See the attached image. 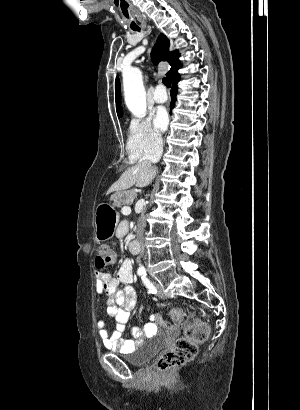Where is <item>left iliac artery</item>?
Wrapping results in <instances>:
<instances>
[{"label":"left iliac artery","mask_w":300,"mask_h":410,"mask_svg":"<svg viewBox=\"0 0 300 410\" xmlns=\"http://www.w3.org/2000/svg\"><path fill=\"white\" fill-rule=\"evenodd\" d=\"M142 281L146 288L148 289L149 293L155 294L157 292L156 287L153 285V283L148 279L146 276V273L142 276Z\"/></svg>","instance_id":"1"}]
</instances>
